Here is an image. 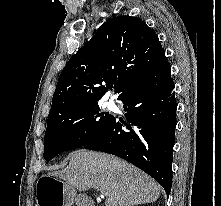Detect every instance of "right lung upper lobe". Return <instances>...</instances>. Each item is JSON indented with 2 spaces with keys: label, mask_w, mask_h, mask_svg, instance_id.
<instances>
[{
  "label": "right lung upper lobe",
  "mask_w": 221,
  "mask_h": 206,
  "mask_svg": "<svg viewBox=\"0 0 221 206\" xmlns=\"http://www.w3.org/2000/svg\"><path fill=\"white\" fill-rule=\"evenodd\" d=\"M167 63L157 34L136 17L104 23L73 55L58 79L49 115L98 103L115 84L120 99L135 84Z\"/></svg>",
  "instance_id": "obj_1"
}]
</instances>
